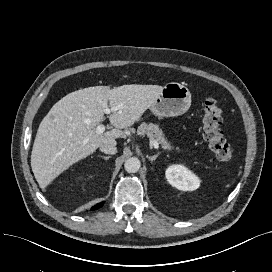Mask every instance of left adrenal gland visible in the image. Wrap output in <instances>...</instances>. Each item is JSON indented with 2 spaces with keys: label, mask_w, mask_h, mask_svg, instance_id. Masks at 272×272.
Segmentation results:
<instances>
[{
  "label": "left adrenal gland",
  "mask_w": 272,
  "mask_h": 272,
  "mask_svg": "<svg viewBox=\"0 0 272 272\" xmlns=\"http://www.w3.org/2000/svg\"><path fill=\"white\" fill-rule=\"evenodd\" d=\"M160 155V152H158L157 154L153 155V156H147V158L153 162L154 160H156V158Z\"/></svg>",
  "instance_id": "obj_1"
}]
</instances>
